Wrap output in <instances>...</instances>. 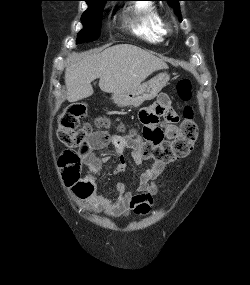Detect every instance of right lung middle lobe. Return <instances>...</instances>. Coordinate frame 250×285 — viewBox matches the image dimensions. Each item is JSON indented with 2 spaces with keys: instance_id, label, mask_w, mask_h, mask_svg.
I'll use <instances>...</instances> for the list:
<instances>
[{
  "instance_id": "dd1d6c3e",
  "label": "right lung middle lobe",
  "mask_w": 250,
  "mask_h": 285,
  "mask_svg": "<svg viewBox=\"0 0 250 285\" xmlns=\"http://www.w3.org/2000/svg\"><path fill=\"white\" fill-rule=\"evenodd\" d=\"M106 1L87 2L88 9L83 13L81 21L83 29L79 32L77 43L91 42L100 36L102 12Z\"/></svg>"
}]
</instances>
